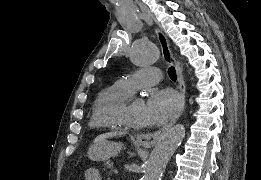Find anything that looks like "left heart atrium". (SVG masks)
Here are the masks:
<instances>
[{"instance_id":"left-heart-atrium-1","label":"left heart atrium","mask_w":261,"mask_h":180,"mask_svg":"<svg viewBox=\"0 0 261 180\" xmlns=\"http://www.w3.org/2000/svg\"><path fill=\"white\" fill-rule=\"evenodd\" d=\"M180 105V97L174 90L154 89L144 102V113L151 123H155L173 115Z\"/></svg>"}]
</instances>
